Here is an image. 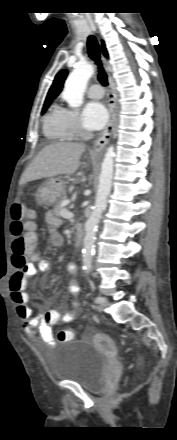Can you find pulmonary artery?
<instances>
[{
  "label": "pulmonary artery",
  "instance_id": "1",
  "mask_svg": "<svg viewBox=\"0 0 177 440\" xmlns=\"http://www.w3.org/2000/svg\"><path fill=\"white\" fill-rule=\"evenodd\" d=\"M88 96L92 99H100L104 96V89L99 84H93L88 90Z\"/></svg>",
  "mask_w": 177,
  "mask_h": 440
}]
</instances>
